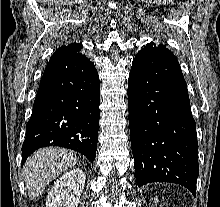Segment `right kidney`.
I'll return each instance as SVG.
<instances>
[{
    "mask_svg": "<svg viewBox=\"0 0 220 207\" xmlns=\"http://www.w3.org/2000/svg\"><path fill=\"white\" fill-rule=\"evenodd\" d=\"M85 180L79 168L63 174L48 192L46 207H78Z\"/></svg>",
    "mask_w": 220,
    "mask_h": 207,
    "instance_id": "ca27d5eb",
    "label": "right kidney"
}]
</instances>
